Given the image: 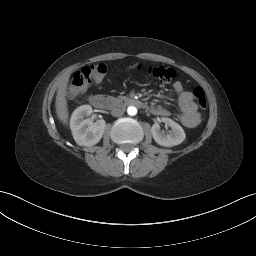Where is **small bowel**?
<instances>
[{"label": "small bowel", "mask_w": 256, "mask_h": 256, "mask_svg": "<svg viewBox=\"0 0 256 256\" xmlns=\"http://www.w3.org/2000/svg\"><path fill=\"white\" fill-rule=\"evenodd\" d=\"M173 89L178 95L179 106L181 108L180 121L188 127H195L200 120V115L197 111V106L193 101V93L187 91L180 81H176L173 84ZM152 113L160 116H169L170 112L164 107L156 106L152 107Z\"/></svg>", "instance_id": "small-bowel-1"}]
</instances>
